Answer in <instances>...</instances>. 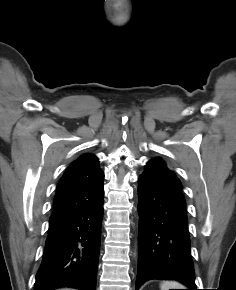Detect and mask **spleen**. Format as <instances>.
<instances>
[{
    "label": "spleen",
    "mask_w": 236,
    "mask_h": 290,
    "mask_svg": "<svg viewBox=\"0 0 236 290\" xmlns=\"http://www.w3.org/2000/svg\"><path fill=\"white\" fill-rule=\"evenodd\" d=\"M181 287H183V285L176 281H164L160 285L161 290L182 289Z\"/></svg>",
    "instance_id": "1"
}]
</instances>
